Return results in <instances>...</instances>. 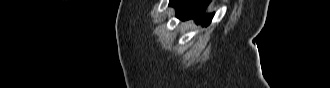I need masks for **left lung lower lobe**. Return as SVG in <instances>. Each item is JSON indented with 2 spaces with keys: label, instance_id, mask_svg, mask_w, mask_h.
I'll list each match as a JSON object with an SVG mask.
<instances>
[{
  "label": "left lung lower lobe",
  "instance_id": "0a47b994",
  "mask_svg": "<svg viewBox=\"0 0 330 88\" xmlns=\"http://www.w3.org/2000/svg\"><path fill=\"white\" fill-rule=\"evenodd\" d=\"M211 0H170L169 5L176 8L179 18L189 19L197 18V23L209 25L214 14H206L203 12ZM201 6L198 7V4Z\"/></svg>",
  "mask_w": 330,
  "mask_h": 88
}]
</instances>
